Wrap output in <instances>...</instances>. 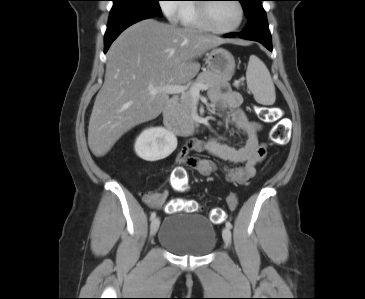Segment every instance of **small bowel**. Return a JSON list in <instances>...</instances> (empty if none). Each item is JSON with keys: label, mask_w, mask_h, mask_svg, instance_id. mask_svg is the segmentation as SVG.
<instances>
[{"label": "small bowel", "mask_w": 365, "mask_h": 299, "mask_svg": "<svg viewBox=\"0 0 365 299\" xmlns=\"http://www.w3.org/2000/svg\"><path fill=\"white\" fill-rule=\"evenodd\" d=\"M210 99L214 104L221 105L229 111L228 118L223 121V126L229 121L246 136V141L240 147H233L222 142L220 137H212L207 140L192 138L180 150L179 162L205 176L211 175L218 168L215 162L188 156L191 151H206L224 163L221 169L229 181L243 184L255 175L256 167L267 155L266 146L260 143L258 138L261 125L248 119L239 108L243 99L238 92L224 86L222 91L219 89L211 91ZM181 168V166L177 167L175 173L180 172ZM167 196V190L154 191L147 194L145 200L150 207L159 208Z\"/></svg>", "instance_id": "obj_1"}]
</instances>
